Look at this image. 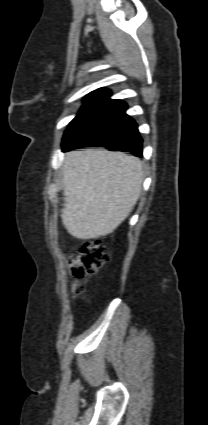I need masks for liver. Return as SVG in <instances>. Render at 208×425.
I'll list each match as a JSON object with an SVG mask.
<instances>
[{
    "label": "liver",
    "mask_w": 208,
    "mask_h": 425,
    "mask_svg": "<svg viewBox=\"0 0 208 425\" xmlns=\"http://www.w3.org/2000/svg\"><path fill=\"white\" fill-rule=\"evenodd\" d=\"M140 159L104 149L70 151L63 165L62 222L81 240L111 234L130 214L142 190Z\"/></svg>",
    "instance_id": "6515ba94"
}]
</instances>
